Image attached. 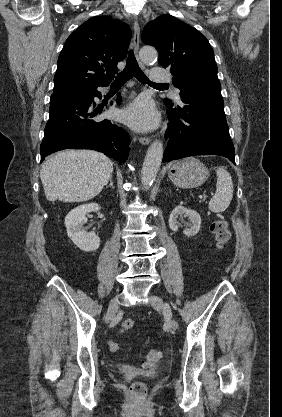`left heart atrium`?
<instances>
[{"label":"left heart atrium","instance_id":"obj_1","mask_svg":"<svg viewBox=\"0 0 282 417\" xmlns=\"http://www.w3.org/2000/svg\"><path fill=\"white\" fill-rule=\"evenodd\" d=\"M123 118L134 127L147 129L154 127L158 121V115L151 101L147 98H139L123 113Z\"/></svg>","mask_w":282,"mask_h":417}]
</instances>
